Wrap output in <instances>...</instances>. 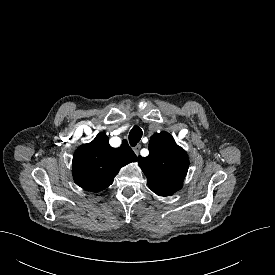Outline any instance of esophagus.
<instances>
[{
    "mask_svg": "<svg viewBox=\"0 0 275 275\" xmlns=\"http://www.w3.org/2000/svg\"><path fill=\"white\" fill-rule=\"evenodd\" d=\"M141 148V145H136L135 147H133V151L135 152V154L138 156L139 155V150Z\"/></svg>",
    "mask_w": 275,
    "mask_h": 275,
    "instance_id": "34e87169",
    "label": "esophagus"
}]
</instances>
